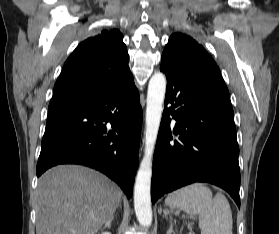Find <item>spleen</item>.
Instances as JSON below:
<instances>
[{
    "mask_svg": "<svg viewBox=\"0 0 279 234\" xmlns=\"http://www.w3.org/2000/svg\"><path fill=\"white\" fill-rule=\"evenodd\" d=\"M165 203L190 215H198L201 234H233L228 200L222 193H216L213 198L212 191L202 183H194L169 194Z\"/></svg>",
    "mask_w": 279,
    "mask_h": 234,
    "instance_id": "3e777b00",
    "label": "spleen"
}]
</instances>
